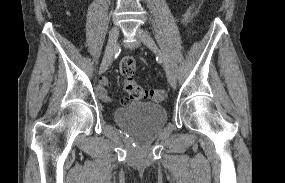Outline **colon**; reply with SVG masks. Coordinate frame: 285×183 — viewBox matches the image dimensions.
<instances>
[{
	"label": "colon",
	"mask_w": 285,
	"mask_h": 183,
	"mask_svg": "<svg viewBox=\"0 0 285 183\" xmlns=\"http://www.w3.org/2000/svg\"><path fill=\"white\" fill-rule=\"evenodd\" d=\"M119 70L124 77V88L130 99L133 100H150L152 102H162L166 99L167 93L163 89H147L138 85L133 80L136 71V62L132 57H125L120 62ZM126 99L122 102L126 103Z\"/></svg>",
	"instance_id": "colon-1"
}]
</instances>
